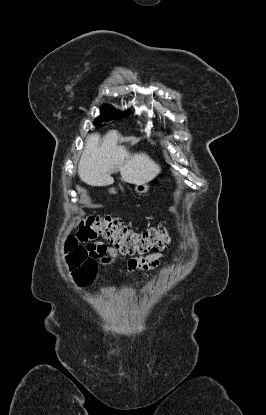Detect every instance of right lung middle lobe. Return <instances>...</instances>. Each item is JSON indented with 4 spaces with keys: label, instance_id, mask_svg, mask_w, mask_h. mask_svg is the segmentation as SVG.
<instances>
[{
    "label": "right lung middle lobe",
    "instance_id": "right-lung-middle-lobe-1",
    "mask_svg": "<svg viewBox=\"0 0 266 415\" xmlns=\"http://www.w3.org/2000/svg\"><path fill=\"white\" fill-rule=\"evenodd\" d=\"M128 115H129V111L120 112L110 105H103L101 107V115L94 121V125L101 127L102 125L100 124L103 122L117 120L119 118L126 117Z\"/></svg>",
    "mask_w": 266,
    "mask_h": 415
}]
</instances>
